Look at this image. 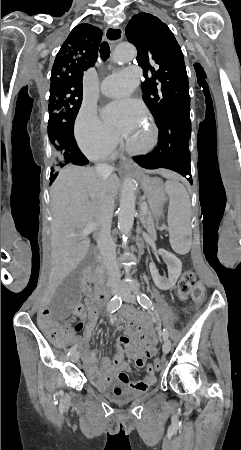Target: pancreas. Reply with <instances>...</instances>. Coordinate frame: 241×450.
Segmentation results:
<instances>
[{
  "label": "pancreas",
  "instance_id": "1",
  "mask_svg": "<svg viewBox=\"0 0 241 450\" xmlns=\"http://www.w3.org/2000/svg\"><path fill=\"white\" fill-rule=\"evenodd\" d=\"M143 224H144L145 228H147L148 232L151 233V232L154 231V226H153V222H152V218H151L150 212H147L146 216H143ZM147 240H148L149 243L152 244V243L155 242L156 239H155L154 236L151 235V236L148 237ZM97 278H99L100 284H104L105 276H104L102 270H99Z\"/></svg>",
  "mask_w": 241,
  "mask_h": 450
}]
</instances>
